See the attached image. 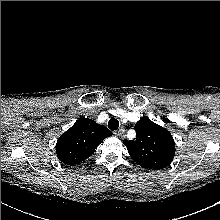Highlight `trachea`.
<instances>
[{
  "instance_id": "3493384b",
  "label": "trachea",
  "mask_w": 220,
  "mask_h": 220,
  "mask_svg": "<svg viewBox=\"0 0 220 220\" xmlns=\"http://www.w3.org/2000/svg\"><path fill=\"white\" fill-rule=\"evenodd\" d=\"M108 127L111 130H117L119 128V121L115 118H111L108 122Z\"/></svg>"
}]
</instances>
